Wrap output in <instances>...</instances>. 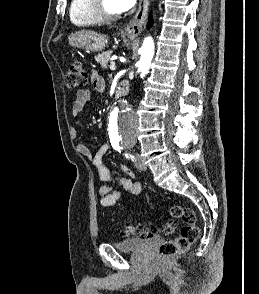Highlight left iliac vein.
<instances>
[{"mask_svg":"<svg viewBox=\"0 0 259 294\" xmlns=\"http://www.w3.org/2000/svg\"><path fill=\"white\" fill-rule=\"evenodd\" d=\"M134 160H135V166L142 171L147 170V166L144 164L143 160L141 159V157L138 154H135L133 156Z\"/></svg>","mask_w":259,"mask_h":294,"instance_id":"obj_1","label":"left iliac vein"}]
</instances>
